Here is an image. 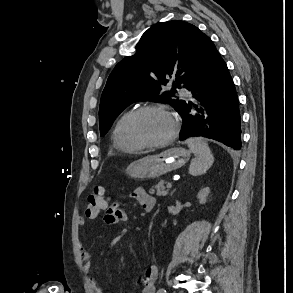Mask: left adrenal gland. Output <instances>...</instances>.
<instances>
[{"label":"left adrenal gland","instance_id":"1","mask_svg":"<svg viewBox=\"0 0 293 293\" xmlns=\"http://www.w3.org/2000/svg\"><path fill=\"white\" fill-rule=\"evenodd\" d=\"M174 192H175V190H173V191L171 192V196L173 195Z\"/></svg>","mask_w":293,"mask_h":293}]
</instances>
